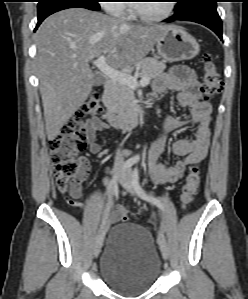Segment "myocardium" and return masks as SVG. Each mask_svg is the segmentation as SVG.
I'll use <instances>...</instances> for the list:
<instances>
[{
  "label": "myocardium",
  "mask_w": 248,
  "mask_h": 299,
  "mask_svg": "<svg viewBox=\"0 0 248 299\" xmlns=\"http://www.w3.org/2000/svg\"><path fill=\"white\" fill-rule=\"evenodd\" d=\"M175 6L176 5L173 0H166L165 9L161 13L156 14V15H148V14L141 12L138 9L137 5H133V14L137 18H139L140 20L145 21V22H160V21L166 20L174 13Z\"/></svg>",
  "instance_id": "1"
}]
</instances>
